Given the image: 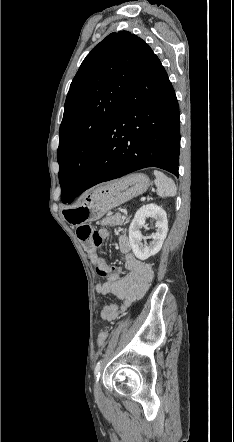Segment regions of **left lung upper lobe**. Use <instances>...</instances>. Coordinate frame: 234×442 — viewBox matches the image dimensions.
I'll return each instance as SVG.
<instances>
[{"label":"left lung upper lobe","mask_w":234,"mask_h":442,"mask_svg":"<svg viewBox=\"0 0 234 442\" xmlns=\"http://www.w3.org/2000/svg\"><path fill=\"white\" fill-rule=\"evenodd\" d=\"M153 55L144 40L119 31L97 44L82 62L70 85L59 129L57 160L63 203L78 191L104 131Z\"/></svg>","instance_id":"5c2ea615"}]
</instances>
